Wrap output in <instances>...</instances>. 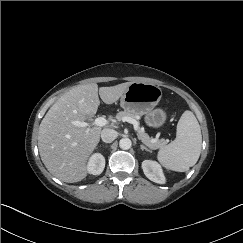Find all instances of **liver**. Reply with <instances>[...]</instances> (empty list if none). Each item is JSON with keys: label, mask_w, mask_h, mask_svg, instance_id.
<instances>
[{"label": "liver", "mask_w": 243, "mask_h": 243, "mask_svg": "<svg viewBox=\"0 0 243 243\" xmlns=\"http://www.w3.org/2000/svg\"><path fill=\"white\" fill-rule=\"evenodd\" d=\"M130 82L111 87L96 83L78 85L64 93L42 119L38 132V148L47 170L58 179L74 183L87 176V161L100 141L102 128L72 125V121L92 118L100 105L113 104L127 90ZM99 92V96H98Z\"/></svg>", "instance_id": "6515ba94"}]
</instances>
